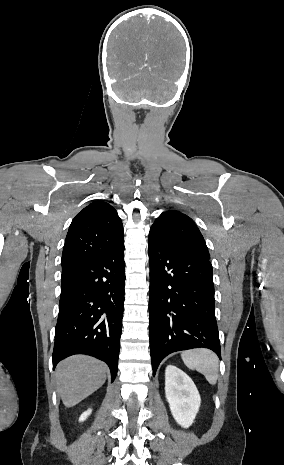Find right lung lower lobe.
<instances>
[{
	"instance_id": "98d812e1",
	"label": "right lung lower lobe",
	"mask_w": 284,
	"mask_h": 465,
	"mask_svg": "<svg viewBox=\"0 0 284 465\" xmlns=\"http://www.w3.org/2000/svg\"><path fill=\"white\" fill-rule=\"evenodd\" d=\"M53 368L74 354L96 357L118 369L124 310V241L105 255L62 273Z\"/></svg>"
}]
</instances>
